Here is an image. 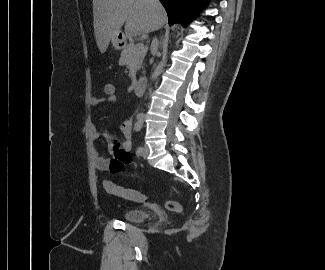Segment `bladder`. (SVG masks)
I'll return each instance as SVG.
<instances>
[{"instance_id": "bladder-1", "label": "bladder", "mask_w": 325, "mask_h": 270, "mask_svg": "<svg viewBox=\"0 0 325 270\" xmlns=\"http://www.w3.org/2000/svg\"><path fill=\"white\" fill-rule=\"evenodd\" d=\"M147 217L148 213L138 208L129 209L123 215L124 221L129 223H139L144 221Z\"/></svg>"}]
</instances>
